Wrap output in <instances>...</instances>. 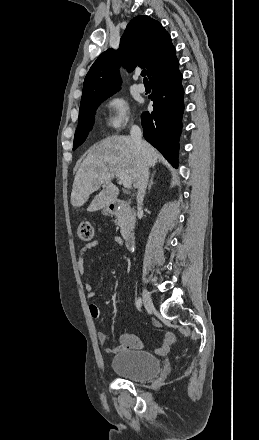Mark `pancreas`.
<instances>
[{
    "instance_id": "1",
    "label": "pancreas",
    "mask_w": 259,
    "mask_h": 440,
    "mask_svg": "<svg viewBox=\"0 0 259 440\" xmlns=\"http://www.w3.org/2000/svg\"><path fill=\"white\" fill-rule=\"evenodd\" d=\"M116 225L120 227L123 237H127L135 225V213L128 205H123L116 214Z\"/></svg>"
}]
</instances>
